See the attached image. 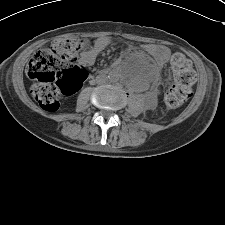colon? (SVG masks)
<instances>
[{
	"instance_id": "colon-1",
	"label": "colon",
	"mask_w": 225,
	"mask_h": 225,
	"mask_svg": "<svg viewBox=\"0 0 225 225\" xmlns=\"http://www.w3.org/2000/svg\"><path fill=\"white\" fill-rule=\"evenodd\" d=\"M84 44L83 40L65 36L57 39L51 48L41 49L32 56L26 73L34 81L32 96L43 109L57 110L63 97L81 88L87 72L76 66L75 57ZM171 68L173 86L165 95V103L169 108H178L192 96L194 73L181 54L172 57Z\"/></svg>"
}]
</instances>
